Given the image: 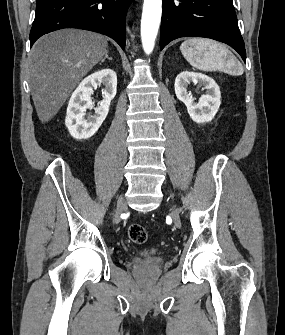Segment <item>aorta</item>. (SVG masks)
<instances>
[{"label": "aorta", "instance_id": "762f6f07", "mask_svg": "<svg viewBox=\"0 0 285 335\" xmlns=\"http://www.w3.org/2000/svg\"><path fill=\"white\" fill-rule=\"evenodd\" d=\"M162 14V0H144L141 20V40L145 54L154 50Z\"/></svg>", "mask_w": 285, "mask_h": 335}]
</instances>
